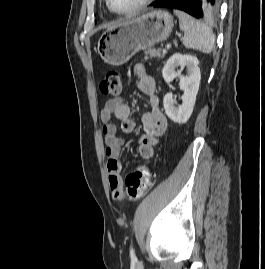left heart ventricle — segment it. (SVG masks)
<instances>
[{
  "label": "left heart ventricle",
  "mask_w": 265,
  "mask_h": 269,
  "mask_svg": "<svg viewBox=\"0 0 265 269\" xmlns=\"http://www.w3.org/2000/svg\"><path fill=\"white\" fill-rule=\"evenodd\" d=\"M114 9L126 10L134 7L142 0H110Z\"/></svg>",
  "instance_id": "1"
}]
</instances>
